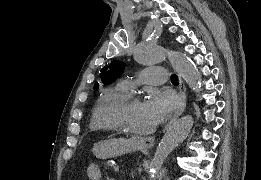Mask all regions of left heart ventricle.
I'll return each instance as SVG.
<instances>
[{
	"mask_svg": "<svg viewBox=\"0 0 261 180\" xmlns=\"http://www.w3.org/2000/svg\"><path fill=\"white\" fill-rule=\"evenodd\" d=\"M125 129L133 135L143 136L156 124L154 117L145 106V101L140 99L118 114Z\"/></svg>",
	"mask_w": 261,
	"mask_h": 180,
	"instance_id": "left-heart-ventricle-1",
	"label": "left heart ventricle"
}]
</instances>
